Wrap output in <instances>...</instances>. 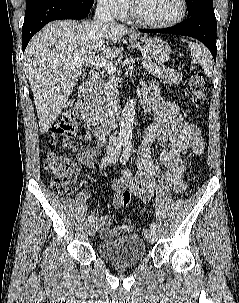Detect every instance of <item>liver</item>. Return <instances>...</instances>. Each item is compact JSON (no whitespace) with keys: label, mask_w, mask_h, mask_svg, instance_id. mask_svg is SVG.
<instances>
[{"label":"liver","mask_w":239,"mask_h":303,"mask_svg":"<svg viewBox=\"0 0 239 303\" xmlns=\"http://www.w3.org/2000/svg\"><path fill=\"white\" fill-rule=\"evenodd\" d=\"M131 30L117 23L53 21L37 33L24 53L28 78L42 133L48 132L71 95L88 57H116L113 44ZM107 45V47H106ZM111 45V47H109Z\"/></svg>","instance_id":"liver-1"}]
</instances>
